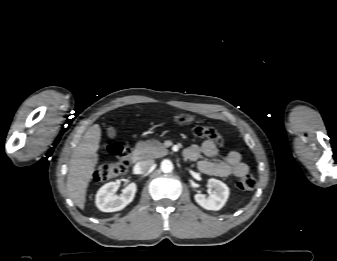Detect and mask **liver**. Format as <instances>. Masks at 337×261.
Wrapping results in <instances>:
<instances>
[{"instance_id":"liver-1","label":"liver","mask_w":337,"mask_h":261,"mask_svg":"<svg viewBox=\"0 0 337 261\" xmlns=\"http://www.w3.org/2000/svg\"><path fill=\"white\" fill-rule=\"evenodd\" d=\"M101 128L91 126L74 149L68 169L67 191L69 197L82 210L85 208L86 192L98 163Z\"/></svg>"}]
</instances>
